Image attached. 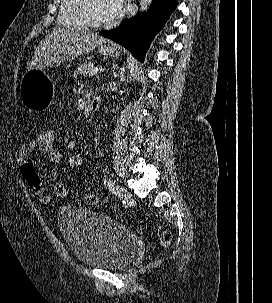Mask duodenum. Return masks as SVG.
I'll list each match as a JSON object with an SVG mask.
<instances>
[{"label": "duodenum", "mask_w": 272, "mask_h": 303, "mask_svg": "<svg viewBox=\"0 0 272 303\" xmlns=\"http://www.w3.org/2000/svg\"><path fill=\"white\" fill-rule=\"evenodd\" d=\"M100 104H101V98L95 97L86 105V111L94 112L99 109Z\"/></svg>", "instance_id": "duodenum-1"}]
</instances>
